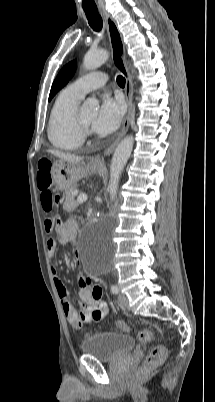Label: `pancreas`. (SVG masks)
<instances>
[{
  "label": "pancreas",
  "instance_id": "cf45deb5",
  "mask_svg": "<svg viewBox=\"0 0 215 402\" xmlns=\"http://www.w3.org/2000/svg\"><path fill=\"white\" fill-rule=\"evenodd\" d=\"M75 190L76 186L65 191V202L63 208L68 212L74 211L78 206V202L75 200V195L73 194Z\"/></svg>",
  "mask_w": 215,
  "mask_h": 402
}]
</instances>
